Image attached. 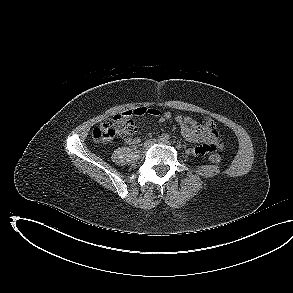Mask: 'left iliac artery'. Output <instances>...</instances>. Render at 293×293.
I'll list each match as a JSON object with an SVG mask.
<instances>
[{
	"mask_svg": "<svg viewBox=\"0 0 293 293\" xmlns=\"http://www.w3.org/2000/svg\"><path fill=\"white\" fill-rule=\"evenodd\" d=\"M176 148H177V149H180V148H181V145H180V144H177V145H176Z\"/></svg>",
	"mask_w": 293,
	"mask_h": 293,
	"instance_id": "44dca946",
	"label": "left iliac artery"
}]
</instances>
